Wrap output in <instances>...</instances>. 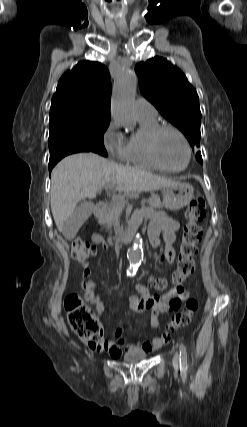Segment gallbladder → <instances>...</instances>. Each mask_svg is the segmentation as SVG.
Masks as SVG:
<instances>
[{"label":"gallbladder","instance_id":"obj_1","mask_svg":"<svg viewBox=\"0 0 247 427\" xmlns=\"http://www.w3.org/2000/svg\"><path fill=\"white\" fill-rule=\"evenodd\" d=\"M93 208L92 202H81L76 206L73 213L64 222L62 232L65 238L71 239L77 234L79 228L90 217Z\"/></svg>","mask_w":247,"mask_h":427}]
</instances>
